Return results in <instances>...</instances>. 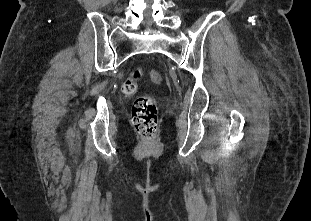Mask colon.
<instances>
[{
	"mask_svg": "<svg viewBox=\"0 0 311 221\" xmlns=\"http://www.w3.org/2000/svg\"><path fill=\"white\" fill-rule=\"evenodd\" d=\"M141 76L142 69L135 68L132 74L123 80L121 90L126 97H131L137 92ZM151 78L154 84L161 83L162 78L158 72L152 71ZM131 118L135 130L143 136L144 141L156 140L157 102L152 96L144 95L135 99Z\"/></svg>",
	"mask_w": 311,
	"mask_h": 221,
	"instance_id": "1",
	"label": "colon"
}]
</instances>
